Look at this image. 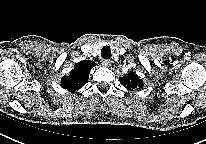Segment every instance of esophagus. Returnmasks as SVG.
Segmentation results:
<instances>
[{"instance_id": "obj_1", "label": "esophagus", "mask_w": 206, "mask_h": 144, "mask_svg": "<svg viewBox=\"0 0 206 144\" xmlns=\"http://www.w3.org/2000/svg\"><path fill=\"white\" fill-rule=\"evenodd\" d=\"M102 64L105 66V67H110L111 64H112V61L111 60H102Z\"/></svg>"}]
</instances>
